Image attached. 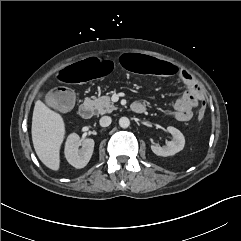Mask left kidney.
<instances>
[{
    "label": "left kidney",
    "instance_id": "obj_1",
    "mask_svg": "<svg viewBox=\"0 0 241 241\" xmlns=\"http://www.w3.org/2000/svg\"><path fill=\"white\" fill-rule=\"evenodd\" d=\"M167 131L172 135L173 140L167 142V144L163 147L157 145H151V150L154 154L158 156H172L178 152H180L185 145L184 135L175 127L169 126L167 127Z\"/></svg>",
    "mask_w": 241,
    "mask_h": 241
}]
</instances>
